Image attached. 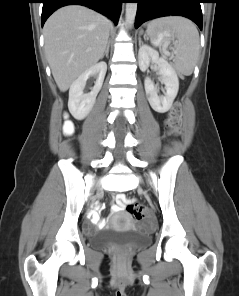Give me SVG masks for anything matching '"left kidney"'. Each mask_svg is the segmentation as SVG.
<instances>
[{
    "instance_id": "5707ae66",
    "label": "left kidney",
    "mask_w": 239,
    "mask_h": 296,
    "mask_svg": "<svg viewBox=\"0 0 239 296\" xmlns=\"http://www.w3.org/2000/svg\"><path fill=\"white\" fill-rule=\"evenodd\" d=\"M138 61L139 68L143 72L148 69L150 63L158 65L161 82L165 84V95L158 96V89L149 77L145 78L144 86L152 109L158 113L167 112L171 108L179 90V79L175 70L164 57L159 56L157 50L146 44L139 48Z\"/></svg>"
}]
</instances>
